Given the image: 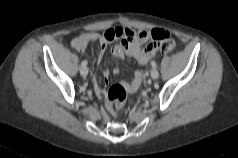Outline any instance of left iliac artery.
<instances>
[{"label":"left iliac artery","mask_w":238,"mask_h":158,"mask_svg":"<svg viewBox=\"0 0 238 158\" xmlns=\"http://www.w3.org/2000/svg\"><path fill=\"white\" fill-rule=\"evenodd\" d=\"M151 65H152L153 68H156V66H157L155 61H152Z\"/></svg>","instance_id":"44dca946"}]
</instances>
